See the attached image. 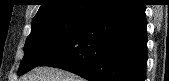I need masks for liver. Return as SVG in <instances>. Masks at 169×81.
<instances>
[{
  "mask_svg": "<svg viewBox=\"0 0 169 81\" xmlns=\"http://www.w3.org/2000/svg\"><path fill=\"white\" fill-rule=\"evenodd\" d=\"M21 81H82V78L67 71L52 67H37Z\"/></svg>",
  "mask_w": 169,
  "mask_h": 81,
  "instance_id": "obj_1",
  "label": "liver"
}]
</instances>
